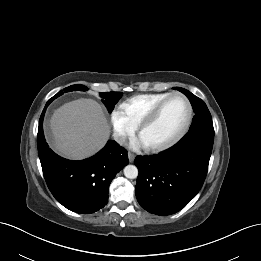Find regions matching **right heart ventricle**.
Returning a JSON list of instances; mask_svg holds the SVG:
<instances>
[{
    "label": "right heart ventricle",
    "mask_w": 261,
    "mask_h": 261,
    "mask_svg": "<svg viewBox=\"0 0 261 261\" xmlns=\"http://www.w3.org/2000/svg\"><path fill=\"white\" fill-rule=\"evenodd\" d=\"M169 93H148L133 96L124 101L120 107L127 119L137 127L150 110Z\"/></svg>",
    "instance_id": "e07e8e85"
}]
</instances>
